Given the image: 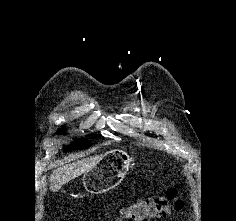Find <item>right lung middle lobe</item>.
Masks as SVG:
<instances>
[{
  "label": "right lung middle lobe",
  "mask_w": 236,
  "mask_h": 221,
  "mask_svg": "<svg viewBox=\"0 0 236 221\" xmlns=\"http://www.w3.org/2000/svg\"><path fill=\"white\" fill-rule=\"evenodd\" d=\"M62 132H63V130L60 129L59 133H62ZM90 145H91V143L89 141L81 140V141H77V142L73 143L71 145V148L84 149V148L89 147Z\"/></svg>",
  "instance_id": "right-lung-middle-lobe-1"
}]
</instances>
